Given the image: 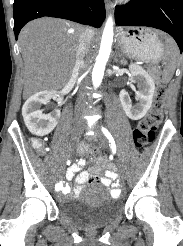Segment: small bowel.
Segmentation results:
<instances>
[{"label":"small bowel","instance_id":"1","mask_svg":"<svg viewBox=\"0 0 183 246\" xmlns=\"http://www.w3.org/2000/svg\"><path fill=\"white\" fill-rule=\"evenodd\" d=\"M84 166V161H79L76 164L70 166L66 172L67 179L75 178V184L72 188L70 185H64L63 180H56L55 184H51V189H59L62 195H78L86 183L98 182L107 187V191H111L113 195L118 196L120 194L121 187L117 180L118 175L116 172L109 168L104 172V175H100L101 169L96 168L91 172L81 171Z\"/></svg>","mask_w":183,"mask_h":246}]
</instances>
